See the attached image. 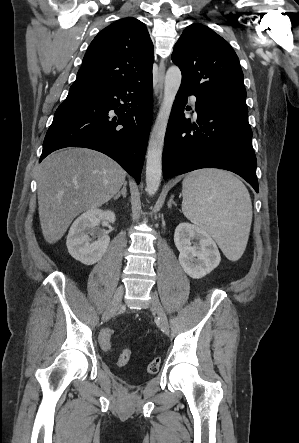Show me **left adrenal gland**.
<instances>
[{
    "mask_svg": "<svg viewBox=\"0 0 299 443\" xmlns=\"http://www.w3.org/2000/svg\"><path fill=\"white\" fill-rule=\"evenodd\" d=\"M174 196H171V198L168 201V208H171L172 204L176 206L175 202L173 201Z\"/></svg>",
    "mask_w": 299,
    "mask_h": 443,
    "instance_id": "left-adrenal-gland-1",
    "label": "left adrenal gland"
}]
</instances>
